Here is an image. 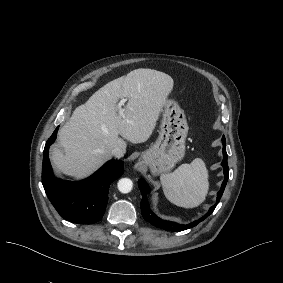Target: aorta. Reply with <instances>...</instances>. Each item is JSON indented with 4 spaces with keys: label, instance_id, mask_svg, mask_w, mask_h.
Here are the masks:
<instances>
[{
    "label": "aorta",
    "instance_id": "aorta-1",
    "mask_svg": "<svg viewBox=\"0 0 283 283\" xmlns=\"http://www.w3.org/2000/svg\"><path fill=\"white\" fill-rule=\"evenodd\" d=\"M117 186L121 193H129L133 188V182L129 178H122L118 181Z\"/></svg>",
    "mask_w": 283,
    "mask_h": 283
}]
</instances>
